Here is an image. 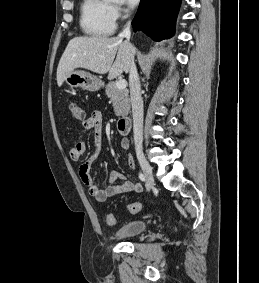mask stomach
Segmentation results:
<instances>
[{
  "instance_id": "1",
  "label": "stomach",
  "mask_w": 259,
  "mask_h": 283,
  "mask_svg": "<svg viewBox=\"0 0 259 283\" xmlns=\"http://www.w3.org/2000/svg\"><path fill=\"white\" fill-rule=\"evenodd\" d=\"M71 87H79L87 91H99L104 83L89 72L83 70L71 71L64 80Z\"/></svg>"
}]
</instances>
